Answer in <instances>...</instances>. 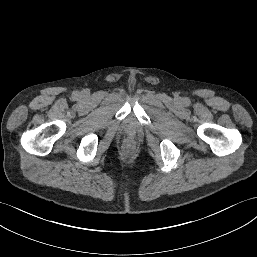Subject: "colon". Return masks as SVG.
I'll return each instance as SVG.
<instances>
[{
	"label": "colon",
	"mask_w": 257,
	"mask_h": 257,
	"mask_svg": "<svg viewBox=\"0 0 257 257\" xmlns=\"http://www.w3.org/2000/svg\"><path fill=\"white\" fill-rule=\"evenodd\" d=\"M125 150H126V152L130 153L132 151V146L131 145H127L125 147Z\"/></svg>",
	"instance_id": "obj_1"
}]
</instances>
